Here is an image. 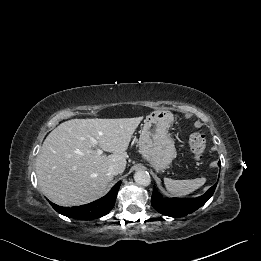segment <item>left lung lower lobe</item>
<instances>
[{
	"label": "left lung lower lobe",
	"instance_id": "left-lung-lower-lobe-1",
	"mask_svg": "<svg viewBox=\"0 0 261 261\" xmlns=\"http://www.w3.org/2000/svg\"><path fill=\"white\" fill-rule=\"evenodd\" d=\"M221 165L220 162L218 163ZM216 185H213L208 191L197 198H164L154 188L151 198V204L159 213L171 217H183L203 206L213 195Z\"/></svg>",
	"mask_w": 261,
	"mask_h": 261
}]
</instances>
